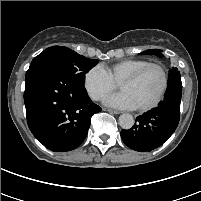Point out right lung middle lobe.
Here are the masks:
<instances>
[{
  "label": "right lung middle lobe",
  "mask_w": 201,
  "mask_h": 201,
  "mask_svg": "<svg viewBox=\"0 0 201 201\" xmlns=\"http://www.w3.org/2000/svg\"><path fill=\"white\" fill-rule=\"evenodd\" d=\"M43 63L61 67L73 73L79 83L84 85L85 74L98 63V60L87 59L66 47L52 46L36 56L30 66Z\"/></svg>",
  "instance_id": "1"
}]
</instances>
